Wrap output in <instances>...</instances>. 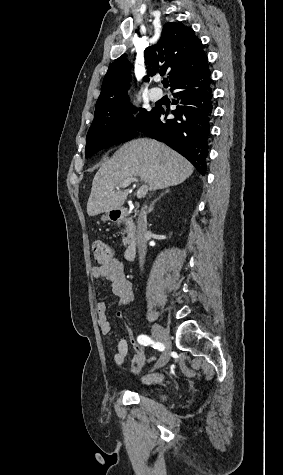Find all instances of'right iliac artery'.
<instances>
[{"label":"right iliac artery","mask_w":283,"mask_h":475,"mask_svg":"<svg viewBox=\"0 0 283 475\" xmlns=\"http://www.w3.org/2000/svg\"><path fill=\"white\" fill-rule=\"evenodd\" d=\"M137 341H138L141 345H144V346H147V345L152 344V346H153L154 348L156 347V344L151 340L150 337H148V336H146V335H140V336H138Z\"/></svg>","instance_id":"obj_1"}]
</instances>
